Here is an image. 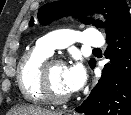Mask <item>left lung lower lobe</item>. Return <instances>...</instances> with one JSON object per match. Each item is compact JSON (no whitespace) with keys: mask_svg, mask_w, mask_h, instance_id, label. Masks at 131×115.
I'll use <instances>...</instances> for the list:
<instances>
[{"mask_svg":"<svg viewBox=\"0 0 131 115\" xmlns=\"http://www.w3.org/2000/svg\"><path fill=\"white\" fill-rule=\"evenodd\" d=\"M111 63L90 95L75 110L84 115H131V17L107 37ZM95 66H91L92 68Z\"/></svg>","mask_w":131,"mask_h":115,"instance_id":"left-lung-lower-lobe-1","label":"left lung lower lobe"}]
</instances>
